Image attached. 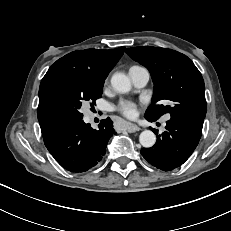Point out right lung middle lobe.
<instances>
[{
    "label": "right lung middle lobe",
    "instance_id": "dd1d6c3e",
    "mask_svg": "<svg viewBox=\"0 0 231 231\" xmlns=\"http://www.w3.org/2000/svg\"><path fill=\"white\" fill-rule=\"evenodd\" d=\"M104 80L84 72H67L54 82L51 102L65 123L83 118L79 111L82 103L95 104L102 95Z\"/></svg>",
    "mask_w": 231,
    "mask_h": 231
}]
</instances>
